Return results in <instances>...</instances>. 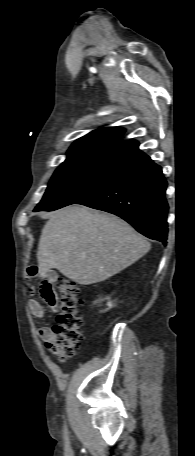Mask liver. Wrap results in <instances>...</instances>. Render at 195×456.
Wrapping results in <instances>:
<instances>
[{
  "label": "liver",
  "mask_w": 195,
  "mask_h": 456,
  "mask_svg": "<svg viewBox=\"0 0 195 456\" xmlns=\"http://www.w3.org/2000/svg\"><path fill=\"white\" fill-rule=\"evenodd\" d=\"M149 250L150 243L124 220L71 205L52 213L43 227L38 268L41 275L57 269L89 285L119 273Z\"/></svg>",
  "instance_id": "6515ba94"
}]
</instances>
